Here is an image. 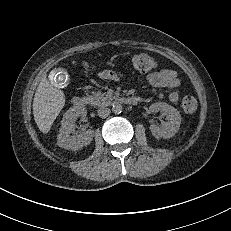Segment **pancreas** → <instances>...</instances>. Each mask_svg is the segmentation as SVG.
<instances>
[{"label": "pancreas", "instance_id": "cf45deb5", "mask_svg": "<svg viewBox=\"0 0 231 231\" xmlns=\"http://www.w3.org/2000/svg\"><path fill=\"white\" fill-rule=\"evenodd\" d=\"M113 99V96L100 91L93 93V95L87 97L88 102L93 106H106Z\"/></svg>", "mask_w": 231, "mask_h": 231}]
</instances>
